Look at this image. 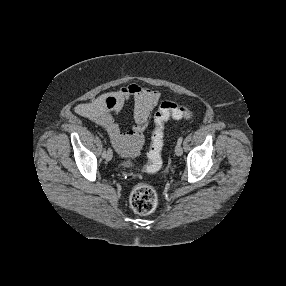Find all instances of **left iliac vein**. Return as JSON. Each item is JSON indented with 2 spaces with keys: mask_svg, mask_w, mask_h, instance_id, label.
Instances as JSON below:
<instances>
[{
  "mask_svg": "<svg viewBox=\"0 0 286 286\" xmlns=\"http://www.w3.org/2000/svg\"><path fill=\"white\" fill-rule=\"evenodd\" d=\"M175 154H176L177 156H181V155L183 154V149H182V146H181V145L177 144V145L175 146Z\"/></svg>",
  "mask_w": 286,
  "mask_h": 286,
  "instance_id": "obj_1",
  "label": "left iliac vein"
}]
</instances>
